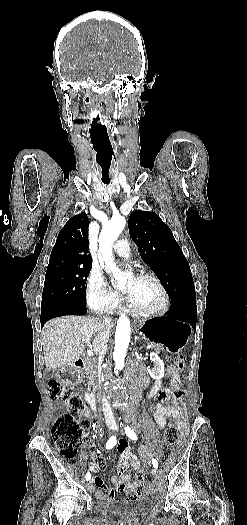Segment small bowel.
<instances>
[{"instance_id": "small-bowel-1", "label": "small bowel", "mask_w": 247, "mask_h": 525, "mask_svg": "<svg viewBox=\"0 0 247 525\" xmlns=\"http://www.w3.org/2000/svg\"><path fill=\"white\" fill-rule=\"evenodd\" d=\"M180 377L177 373H174L170 382V387L176 391L174 396V403L172 405H166L164 402L160 401L156 404L154 420L157 427L162 430L166 425V419L172 418L178 424L179 432L181 435H185L187 431L186 421L184 417V408L182 402V394L179 390L180 388ZM160 383H155L150 389L148 396L150 398L155 397L159 391ZM90 416V413L87 414V417ZM85 448V447H84ZM117 448L119 451V458L117 461V470L116 473L112 476V482L116 486L118 492L128 491L130 492L133 489V485L130 484V475L128 474V469L131 467L134 470L138 471L141 467V463L145 466L151 464L153 457L159 458L160 454L154 449L142 448L140 451V456L133 454L128 447V443L125 439H120ZM92 458L94 463L90 465L91 471L95 472L96 468L102 470L105 468L106 463L103 456L98 455L94 450L92 452ZM96 477V479H95ZM93 485L98 490L95 492L97 498L106 499L108 505L113 506L116 504L117 499L115 497V492L111 491L108 494H105L107 487L104 480H102V475L94 476ZM140 496L132 494L128 497L129 500L135 501L139 499Z\"/></svg>"}]
</instances>
